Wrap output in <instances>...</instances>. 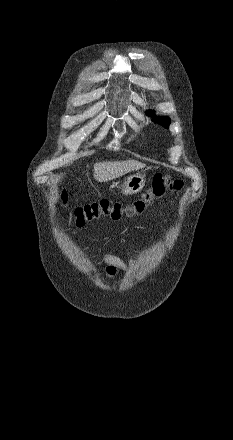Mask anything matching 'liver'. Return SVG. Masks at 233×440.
Instances as JSON below:
<instances>
[{
	"label": "liver",
	"mask_w": 233,
	"mask_h": 440,
	"mask_svg": "<svg viewBox=\"0 0 233 440\" xmlns=\"http://www.w3.org/2000/svg\"><path fill=\"white\" fill-rule=\"evenodd\" d=\"M144 167V163L136 160L104 161L94 164L93 176L98 182H106Z\"/></svg>",
	"instance_id": "liver-1"
}]
</instances>
